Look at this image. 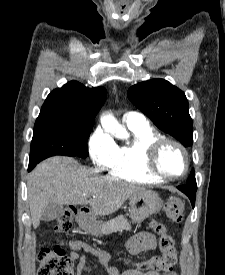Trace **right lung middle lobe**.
<instances>
[{
	"mask_svg": "<svg viewBox=\"0 0 225 275\" xmlns=\"http://www.w3.org/2000/svg\"><path fill=\"white\" fill-rule=\"evenodd\" d=\"M94 122L73 119L36 120L31 143L29 170L54 155L86 158L87 141Z\"/></svg>",
	"mask_w": 225,
	"mask_h": 275,
	"instance_id": "dd1d6c3e",
	"label": "right lung middle lobe"
}]
</instances>
